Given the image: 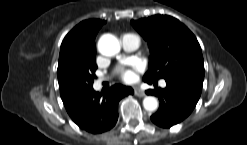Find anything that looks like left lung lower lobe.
<instances>
[{
  "label": "left lung lower lobe",
  "instance_id": "1",
  "mask_svg": "<svg viewBox=\"0 0 247 145\" xmlns=\"http://www.w3.org/2000/svg\"><path fill=\"white\" fill-rule=\"evenodd\" d=\"M165 81L166 88L147 90L146 94L155 95L160 100L158 111L151 116L152 122L169 128L192 112L201 95L202 83L181 76L169 77Z\"/></svg>",
  "mask_w": 247,
  "mask_h": 145
}]
</instances>
